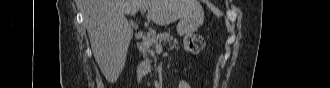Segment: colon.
<instances>
[{
    "label": "colon",
    "mask_w": 330,
    "mask_h": 88,
    "mask_svg": "<svg viewBox=\"0 0 330 88\" xmlns=\"http://www.w3.org/2000/svg\"><path fill=\"white\" fill-rule=\"evenodd\" d=\"M206 46V41L203 36L198 34L187 35L184 39V49L188 53L198 54Z\"/></svg>",
    "instance_id": "5ec220e1"
}]
</instances>
